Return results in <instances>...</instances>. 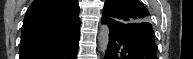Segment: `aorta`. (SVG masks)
<instances>
[{
    "label": "aorta",
    "instance_id": "1",
    "mask_svg": "<svg viewBox=\"0 0 193 59\" xmlns=\"http://www.w3.org/2000/svg\"><path fill=\"white\" fill-rule=\"evenodd\" d=\"M109 33H110L109 27L107 25L100 26V30L98 34V46L103 56L105 55L107 51V47L109 43Z\"/></svg>",
    "mask_w": 193,
    "mask_h": 59
}]
</instances>
